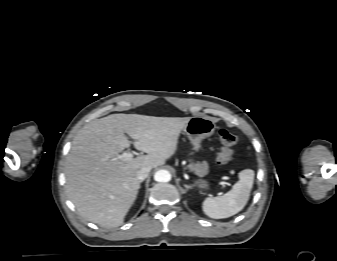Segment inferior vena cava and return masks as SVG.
I'll return each instance as SVG.
<instances>
[{
	"label": "inferior vena cava",
	"instance_id": "inferior-vena-cava-1",
	"mask_svg": "<svg viewBox=\"0 0 337 261\" xmlns=\"http://www.w3.org/2000/svg\"><path fill=\"white\" fill-rule=\"evenodd\" d=\"M150 170H151L150 167H143V168L139 169L137 171V175H136L137 179L139 181L145 180L148 177Z\"/></svg>",
	"mask_w": 337,
	"mask_h": 261
}]
</instances>
